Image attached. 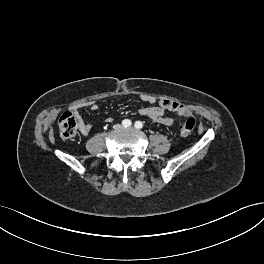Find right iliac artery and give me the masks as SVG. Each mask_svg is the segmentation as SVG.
Listing matches in <instances>:
<instances>
[{
  "label": "right iliac artery",
  "instance_id": "obj_1",
  "mask_svg": "<svg viewBox=\"0 0 264 264\" xmlns=\"http://www.w3.org/2000/svg\"><path fill=\"white\" fill-rule=\"evenodd\" d=\"M131 124H132V122L129 119H125V120L122 121V125L124 127H129V126H131Z\"/></svg>",
  "mask_w": 264,
  "mask_h": 264
}]
</instances>
